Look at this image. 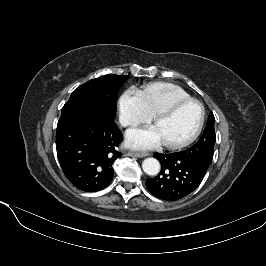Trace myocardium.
Listing matches in <instances>:
<instances>
[{
    "label": "myocardium",
    "mask_w": 266,
    "mask_h": 266,
    "mask_svg": "<svg viewBox=\"0 0 266 266\" xmlns=\"http://www.w3.org/2000/svg\"><path fill=\"white\" fill-rule=\"evenodd\" d=\"M189 103H196L197 105H199V107L201 109V116H200L199 123H198L196 129L194 130V132L189 137H187L186 139L178 141V142H164L165 145L171 149H180V148L186 147L197 139V137L200 135V133L203 129L204 123H205V117H206L205 106L201 101H199L195 98H187V99L179 100V101L172 103L171 105L158 111L154 115L153 120H154V123L156 124L160 119L172 115L179 108H181L182 106L187 105Z\"/></svg>",
    "instance_id": "myocardium-1"
}]
</instances>
